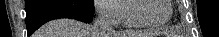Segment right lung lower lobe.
<instances>
[{
    "label": "right lung lower lobe",
    "instance_id": "98d812e1",
    "mask_svg": "<svg viewBox=\"0 0 219 37\" xmlns=\"http://www.w3.org/2000/svg\"><path fill=\"white\" fill-rule=\"evenodd\" d=\"M28 36L42 24L57 18H72L85 23L93 19V0H26Z\"/></svg>",
    "mask_w": 219,
    "mask_h": 37
}]
</instances>
